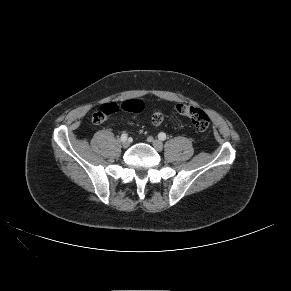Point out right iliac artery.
<instances>
[{"mask_svg": "<svg viewBox=\"0 0 291 291\" xmlns=\"http://www.w3.org/2000/svg\"><path fill=\"white\" fill-rule=\"evenodd\" d=\"M125 140H127V134L126 133H123L121 135V141H125Z\"/></svg>", "mask_w": 291, "mask_h": 291, "instance_id": "82829eb1", "label": "right iliac artery"}]
</instances>
